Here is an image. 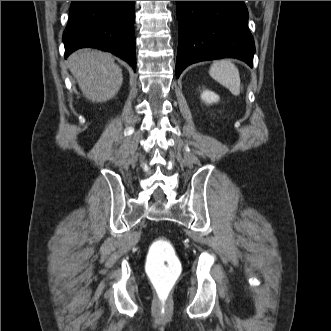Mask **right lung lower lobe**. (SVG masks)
<instances>
[{
	"label": "right lung lower lobe",
	"mask_w": 331,
	"mask_h": 331,
	"mask_svg": "<svg viewBox=\"0 0 331 331\" xmlns=\"http://www.w3.org/2000/svg\"><path fill=\"white\" fill-rule=\"evenodd\" d=\"M134 1H72L63 33L65 58L92 47L115 54L136 67Z\"/></svg>",
	"instance_id": "1"
}]
</instances>
